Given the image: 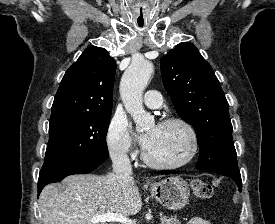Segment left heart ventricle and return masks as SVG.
<instances>
[{
    "instance_id": "1",
    "label": "left heart ventricle",
    "mask_w": 275,
    "mask_h": 224,
    "mask_svg": "<svg viewBox=\"0 0 275 224\" xmlns=\"http://www.w3.org/2000/svg\"><path fill=\"white\" fill-rule=\"evenodd\" d=\"M148 134H152L153 139L147 151L156 161L176 163L183 160L190 151L189 134L179 124L154 125L149 128Z\"/></svg>"
}]
</instances>
